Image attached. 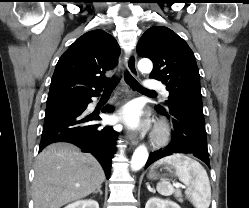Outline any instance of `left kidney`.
<instances>
[{"instance_id":"5707ae66","label":"left kidney","mask_w":249,"mask_h":208,"mask_svg":"<svg viewBox=\"0 0 249 208\" xmlns=\"http://www.w3.org/2000/svg\"><path fill=\"white\" fill-rule=\"evenodd\" d=\"M145 208H181V207L173 201L152 197L147 201Z\"/></svg>"}]
</instances>
